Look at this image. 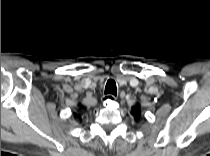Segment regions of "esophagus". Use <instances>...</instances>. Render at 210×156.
I'll return each mask as SVG.
<instances>
[{
  "label": "esophagus",
  "instance_id": "obj_1",
  "mask_svg": "<svg viewBox=\"0 0 210 156\" xmlns=\"http://www.w3.org/2000/svg\"><path fill=\"white\" fill-rule=\"evenodd\" d=\"M116 96L112 95V94H107V95H104L103 98H102V101L104 104H106L107 102L109 101H114L116 100Z\"/></svg>",
  "mask_w": 210,
  "mask_h": 156
}]
</instances>
